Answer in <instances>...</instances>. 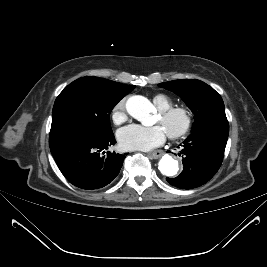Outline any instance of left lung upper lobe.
<instances>
[{"label": "left lung upper lobe", "instance_id": "left-lung-upper-lobe-1", "mask_svg": "<svg viewBox=\"0 0 267 267\" xmlns=\"http://www.w3.org/2000/svg\"><path fill=\"white\" fill-rule=\"evenodd\" d=\"M179 95L193 111L192 133L213 127L229 128L221 96L200 80H174L158 84Z\"/></svg>", "mask_w": 267, "mask_h": 267}]
</instances>
